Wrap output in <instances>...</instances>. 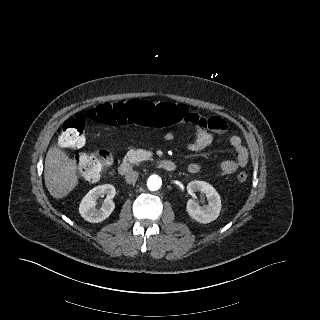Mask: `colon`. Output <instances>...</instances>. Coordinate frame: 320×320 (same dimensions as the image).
<instances>
[{
  "label": "colon",
  "instance_id": "colon-1",
  "mask_svg": "<svg viewBox=\"0 0 320 320\" xmlns=\"http://www.w3.org/2000/svg\"><path fill=\"white\" fill-rule=\"evenodd\" d=\"M183 106L171 103L154 104L142 99H132L119 103H103L89 111V117L96 122L111 126L137 124L147 127L163 128L183 118ZM83 117L74 116L64 121L60 142L66 148H79L85 142ZM112 157L106 151L80 153L74 159L78 172L87 180L96 181L111 165ZM240 182L248 179V174L237 175Z\"/></svg>",
  "mask_w": 320,
  "mask_h": 320
}]
</instances>
